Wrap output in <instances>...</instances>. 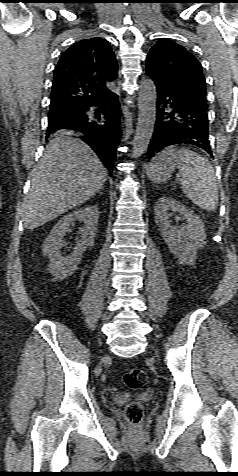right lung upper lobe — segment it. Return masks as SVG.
Returning <instances> with one entry per match:
<instances>
[{
  "label": "right lung upper lobe",
  "mask_w": 238,
  "mask_h": 476,
  "mask_svg": "<svg viewBox=\"0 0 238 476\" xmlns=\"http://www.w3.org/2000/svg\"><path fill=\"white\" fill-rule=\"evenodd\" d=\"M117 72L106 40L95 37L73 44L55 67L50 108H86L110 92L106 82L113 81Z\"/></svg>",
  "instance_id": "obj_1"
}]
</instances>
